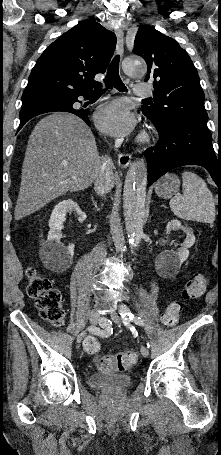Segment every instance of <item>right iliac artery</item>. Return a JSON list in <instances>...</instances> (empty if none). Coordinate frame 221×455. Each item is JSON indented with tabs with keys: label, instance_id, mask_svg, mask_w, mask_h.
Wrapping results in <instances>:
<instances>
[{
	"label": "right iliac artery",
	"instance_id": "right-iliac-artery-1",
	"mask_svg": "<svg viewBox=\"0 0 221 455\" xmlns=\"http://www.w3.org/2000/svg\"><path fill=\"white\" fill-rule=\"evenodd\" d=\"M111 326L108 324L102 325L101 329H96L92 326L88 327V330L90 331V334H95L96 337H111Z\"/></svg>",
	"mask_w": 221,
	"mask_h": 455
}]
</instances>
